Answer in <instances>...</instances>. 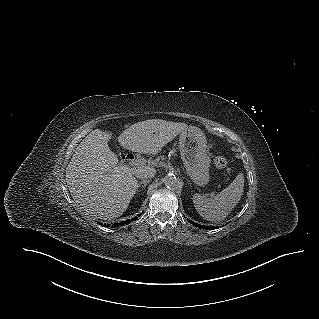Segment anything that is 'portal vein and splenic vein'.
Masks as SVG:
<instances>
[{
  "instance_id": "1",
  "label": "portal vein and splenic vein",
  "mask_w": 319,
  "mask_h": 319,
  "mask_svg": "<svg viewBox=\"0 0 319 319\" xmlns=\"http://www.w3.org/2000/svg\"><path fill=\"white\" fill-rule=\"evenodd\" d=\"M140 164H144V162H141L139 160H135L134 162H132V165H134V166H137V165H140Z\"/></svg>"
}]
</instances>
